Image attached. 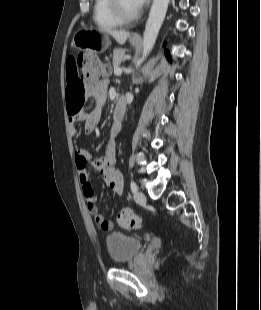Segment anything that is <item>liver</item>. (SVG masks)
<instances>
[{"label":"liver","mask_w":261,"mask_h":310,"mask_svg":"<svg viewBox=\"0 0 261 310\" xmlns=\"http://www.w3.org/2000/svg\"><path fill=\"white\" fill-rule=\"evenodd\" d=\"M106 32L110 34L120 45L125 44L126 40L130 36V33L124 30H107Z\"/></svg>","instance_id":"1"}]
</instances>
